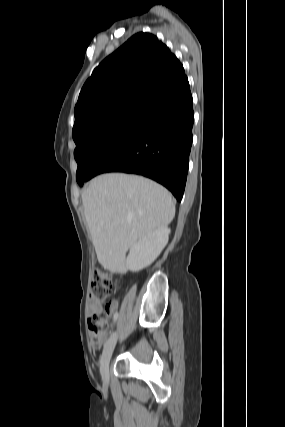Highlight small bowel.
Wrapping results in <instances>:
<instances>
[{
  "mask_svg": "<svg viewBox=\"0 0 285 427\" xmlns=\"http://www.w3.org/2000/svg\"><path fill=\"white\" fill-rule=\"evenodd\" d=\"M117 307H118V302L117 301H112L108 305L107 310H108L109 313H113L117 309ZM101 312H102V305H101V303H99L97 301H94V300H90L88 302V313L90 315L99 314Z\"/></svg>",
  "mask_w": 285,
  "mask_h": 427,
  "instance_id": "1",
  "label": "small bowel"
}]
</instances>
